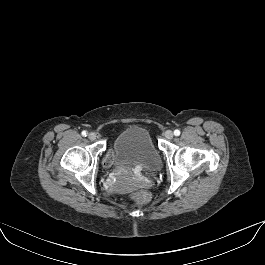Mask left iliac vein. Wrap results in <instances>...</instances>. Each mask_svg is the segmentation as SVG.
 Segmentation results:
<instances>
[{"mask_svg":"<svg viewBox=\"0 0 265 265\" xmlns=\"http://www.w3.org/2000/svg\"><path fill=\"white\" fill-rule=\"evenodd\" d=\"M164 136L167 139H172L174 134H173V132L171 130H167V131H165Z\"/></svg>","mask_w":265,"mask_h":265,"instance_id":"left-iliac-vein-1","label":"left iliac vein"}]
</instances>
